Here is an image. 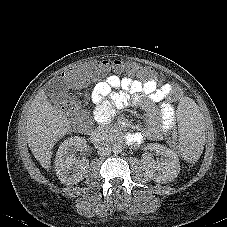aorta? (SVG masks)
I'll return each mask as SVG.
<instances>
[{
	"mask_svg": "<svg viewBox=\"0 0 227 227\" xmlns=\"http://www.w3.org/2000/svg\"><path fill=\"white\" fill-rule=\"evenodd\" d=\"M112 151H113V153L114 154H119V153H121L122 152V145L121 144H114L113 146H112Z\"/></svg>",
	"mask_w": 227,
	"mask_h": 227,
	"instance_id": "762f6f07",
	"label": "aorta"
}]
</instances>
